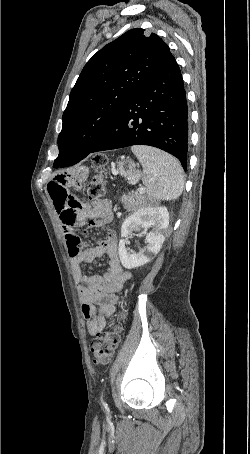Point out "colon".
Instances as JSON below:
<instances>
[{"instance_id":"obj_1","label":"colon","mask_w":250,"mask_h":454,"mask_svg":"<svg viewBox=\"0 0 250 454\" xmlns=\"http://www.w3.org/2000/svg\"><path fill=\"white\" fill-rule=\"evenodd\" d=\"M93 162L99 168L107 163V157L103 154H98L93 158ZM107 185L102 176H94L87 187V195L91 200H98L106 193ZM126 302V296H122L120 304ZM126 314L124 310H120L116 315L114 322L109 330L97 333L96 337L91 343V352L93 355L94 363L97 365H104L111 361L113 354L119 345L121 339V322L125 319Z\"/></svg>"}]
</instances>
